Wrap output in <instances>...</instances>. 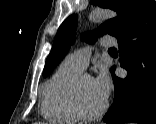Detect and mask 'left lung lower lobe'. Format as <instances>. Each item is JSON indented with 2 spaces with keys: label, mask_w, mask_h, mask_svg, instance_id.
<instances>
[{
  "label": "left lung lower lobe",
  "mask_w": 156,
  "mask_h": 124,
  "mask_svg": "<svg viewBox=\"0 0 156 124\" xmlns=\"http://www.w3.org/2000/svg\"><path fill=\"white\" fill-rule=\"evenodd\" d=\"M116 38L127 77L118 78L111 69L114 101L103 121L156 124V2L149 0L133 25Z\"/></svg>",
  "instance_id": "left-lung-lower-lobe-1"
}]
</instances>
